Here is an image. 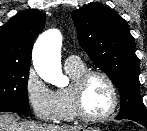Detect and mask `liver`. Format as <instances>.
I'll return each instance as SVG.
<instances>
[{"instance_id":"1","label":"liver","mask_w":147,"mask_h":131,"mask_svg":"<svg viewBox=\"0 0 147 131\" xmlns=\"http://www.w3.org/2000/svg\"><path fill=\"white\" fill-rule=\"evenodd\" d=\"M82 127L18 122L10 113H0V131H80Z\"/></svg>"}]
</instances>
